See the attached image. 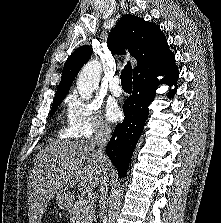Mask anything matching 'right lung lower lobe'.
Wrapping results in <instances>:
<instances>
[{
	"instance_id": "98d812e1",
	"label": "right lung lower lobe",
	"mask_w": 221,
	"mask_h": 223,
	"mask_svg": "<svg viewBox=\"0 0 221 223\" xmlns=\"http://www.w3.org/2000/svg\"><path fill=\"white\" fill-rule=\"evenodd\" d=\"M159 75L164 76V84L175 86V89L168 93L169 98L173 97L179 76L176 65L157 74L134 78L133 93L123 105L125 118L115 127L106 146V153L121 177L126 175L131 156L143 131L149 113L148 106L154 99L156 87L160 83L156 78Z\"/></svg>"
}]
</instances>
